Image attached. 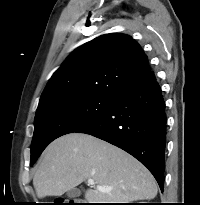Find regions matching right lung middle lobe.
<instances>
[{"label": "right lung middle lobe", "instance_id": "1", "mask_svg": "<svg viewBox=\"0 0 200 205\" xmlns=\"http://www.w3.org/2000/svg\"><path fill=\"white\" fill-rule=\"evenodd\" d=\"M113 101V97L77 96L36 112L30 166L54 139L91 124L109 109Z\"/></svg>", "mask_w": 200, "mask_h": 205}]
</instances>
